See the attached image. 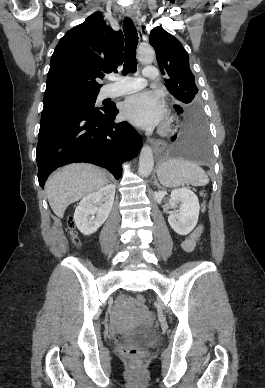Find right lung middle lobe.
Instances as JSON below:
<instances>
[{"mask_svg":"<svg viewBox=\"0 0 265 388\" xmlns=\"http://www.w3.org/2000/svg\"><path fill=\"white\" fill-rule=\"evenodd\" d=\"M97 95L98 94H69L44 98L42 116L70 109L99 110L98 108H94Z\"/></svg>","mask_w":265,"mask_h":388,"instance_id":"obj_1","label":"right lung middle lobe"}]
</instances>
